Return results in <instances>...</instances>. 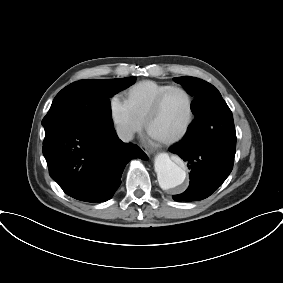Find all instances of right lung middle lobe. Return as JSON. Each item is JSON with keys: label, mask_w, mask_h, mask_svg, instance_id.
Wrapping results in <instances>:
<instances>
[{"label": "right lung middle lobe", "mask_w": 283, "mask_h": 283, "mask_svg": "<svg viewBox=\"0 0 283 283\" xmlns=\"http://www.w3.org/2000/svg\"><path fill=\"white\" fill-rule=\"evenodd\" d=\"M135 82V77L90 79L74 82L54 98L42 120L45 129L62 124L112 127L109 98Z\"/></svg>", "instance_id": "1"}]
</instances>
